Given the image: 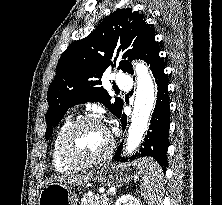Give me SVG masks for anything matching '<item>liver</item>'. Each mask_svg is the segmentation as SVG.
I'll return each instance as SVG.
<instances>
[{
	"label": "liver",
	"instance_id": "1",
	"mask_svg": "<svg viewBox=\"0 0 222 205\" xmlns=\"http://www.w3.org/2000/svg\"><path fill=\"white\" fill-rule=\"evenodd\" d=\"M93 178V173H89L86 175H77V176H62L57 178L56 180L64 183V184H73V185H80L83 186Z\"/></svg>",
	"mask_w": 222,
	"mask_h": 205
}]
</instances>
